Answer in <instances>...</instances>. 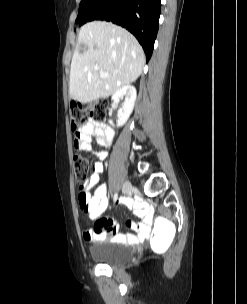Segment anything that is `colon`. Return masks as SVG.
I'll list each match as a JSON object with an SVG mask.
<instances>
[{"mask_svg": "<svg viewBox=\"0 0 247 304\" xmlns=\"http://www.w3.org/2000/svg\"><path fill=\"white\" fill-rule=\"evenodd\" d=\"M108 103L105 100L92 101L83 105H74L71 108V128L75 135H78L81 128L89 120H104L107 115ZM76 149H79L76 141ZM74 174L80 188V195L83 196V188L89 171L88 159L77 152L73 158ZM152 237H148L150 253H167L171 248V240H175L173 231V220L167 218H156L151 231Z\"/></svg>", "mask_w": 247, "mask_h": 304, "instance_id": "obj_1", "label": "colon"}]
</instances>
